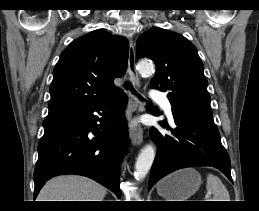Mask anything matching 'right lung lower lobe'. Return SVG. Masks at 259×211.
<instances>
[{
	"instance_id": "1",
	"label": "right lung lower lobe",
	"mask_w": 259,
	"mask_h": 211,
	"mask_svg": "<svg viewBox=\"0 0 259 211\" xmlns=\"http://www.w3.org/2000/svg\"><path fill=\"white\" fill-rule=\"evenodd\" d=\"M126 103L121 92L90 108L46 117L34 171V199L48 179L61 174L90 177L120 198V165L128 148Z\"/></svg>"
}]
</instances>
